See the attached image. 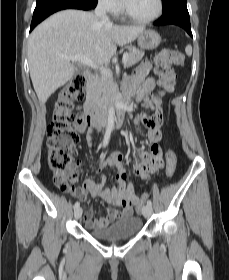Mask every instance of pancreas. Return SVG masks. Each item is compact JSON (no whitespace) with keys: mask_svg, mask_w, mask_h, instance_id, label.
I'll return each instance as SVG.
<instances>
[{"mask_svg":"<svg viewBox=\"0 0 229 280\" xmlns=\"http://www.w3.org/2000/svg\"><path fill=\"white\" fill-rule=\"evenodd\" d=\"M129 58L125 67H131L140 61L144 56V51L131 48L128 52ZM116 84L109 75L96 76L87 86V97L95 101L98 105H104L116 90Z\"/></svg>","mask_w":229,"mask_h":280,"instance_id":"obj_1","label":"pancreas"}]
</instances>
